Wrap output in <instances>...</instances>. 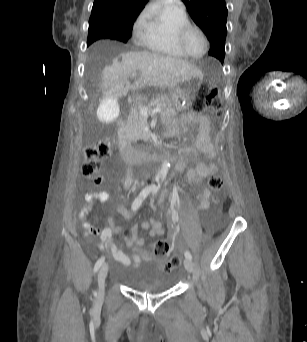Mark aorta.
<instances>
[{
	"label": "aorta",
	"mask_w": 307,
	"mask_h": 342,
	"mask_svg": "<svg viewBox=\"0 0 307 342\" xmlns=\"http://www.w3.org/2000/svg\"><path fill=\"white\" fill-rule=\"evenodd\" d=\"M169 170H170V162H169L168 158H166V160H164V162H162V166L158 172V176H161V178H165V176H167Z\"/></svg>",
	"instance_id": "762f6f07"
}]
</instances>
